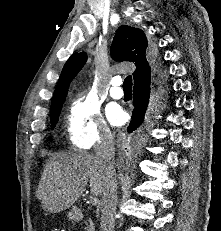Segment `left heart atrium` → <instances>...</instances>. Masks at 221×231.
Instances as JSON below:
<instances>
[{
  "label": "left heart atrium",
  "instance_id": "1",
  "mask_svg": "<svg viewBox=\"0 0 221 231\" xmlns=\"http://www.w3.org/2000/svg\"><path fill=\"white\" fill-rule=\"evenodd\" d=\"M109 121L116 126L122 125L125 122V113L118 106H111L107 111Z\"/></svg>",
  "mask_w": 221,
  "mask_h": 231
}]
</instances>
